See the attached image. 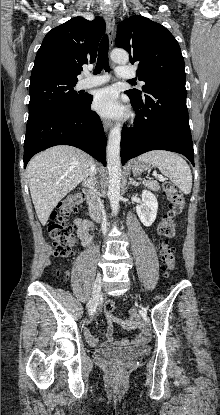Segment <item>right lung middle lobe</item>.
Listing matches in <instances>:
<instances>
[{
	"label": "right lung middle lobe",
	"mask_w": 220,
	"mask_h": 415,
	"mask_svg": "<svg viewBox=\"0 0 220 415\" xmlns=\"http://www.w3.org/2000/svg\"><path fill=\"white\" fill-rule=\"evenodd\" d=\"M77 82L57 78H38L31 80L29 86V117L54 106H75L83 95L73 87Z\"/></svg>",
	"instance_id": "dd1d6c3e"
}]
</instances>
